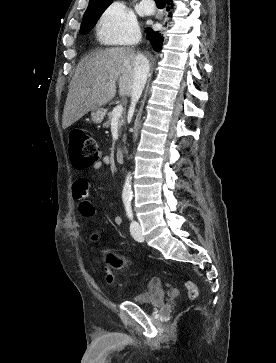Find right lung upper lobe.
Here are the masks:
<instances>
[{"mask_svg": "<svg viewBox=\"0 0 276 363\" xmlns=\"http://www.w3.org/2000/svg\"><path fill=\"white\" fill-rule=\"evenodd\" d=\"M112 0H90L89 5L91 4H110Z\"/></svg>", "mask_w": 276, "mask_h": 363, "instance_id": "1", "label": "right lung upper lobe"}]
</instances>
